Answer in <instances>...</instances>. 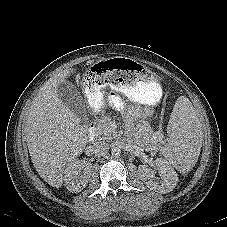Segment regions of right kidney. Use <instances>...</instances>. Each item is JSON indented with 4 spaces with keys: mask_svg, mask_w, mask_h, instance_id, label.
<instances>
[{
    "mask_svg": "<svg viewBox=\"0 0 227 227\" xmlns=\"http://www.w3.org/2000/svg\"><path fill=\"white\" fill-rule=\"evenodd\" d=\"M90 170L91 164L89 162L73 158L64 171L66 188L72 193L82 191L89 182Z\"/></svg>",
    "mask_w": 227,
    "mask_h": 227,
    "instance_id": "1",
    "label": "right kidney"
}]
</instances>
